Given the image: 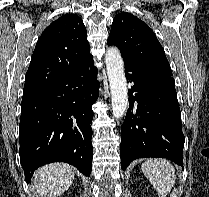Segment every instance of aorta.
I'll return each mask as SVG.
<instances>
[{"instance_id": "1", "label": "aorta", "mask_w": 209, "mask_h": 197, "mask_svg": "<svg viewBox=\"0 0 209 197\" xmlns=\"http://www.w3.org/2000/svg\"><path fill=\"white\" fill-rule=\"evenodd\" d=\"M105 62L111 90L112 114L118 119L126 112L129 101L124 62L117 47L107 49Z\"/></svg>"}]
</instances>
